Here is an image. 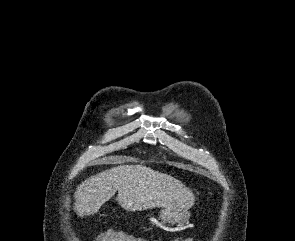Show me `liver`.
I'll return each instance as SVG.
<instances>
[{"instance_id":"1","label":"liver","mask_w":295,"mask_h":241,"mask_svg":"<svg viewBox=\"0 0 295 241\" xmlns=\"http://www.w3.org/2000/svg\"><path fill=\"white\" fill-rule=\"evenodd\" d=\"M118 191L116 200L127 211L156 207L187 210L195 196L181 181L143 165H119L82 182L75 191L79 217L94 215Z\"/></svg>"}]
</instances>
